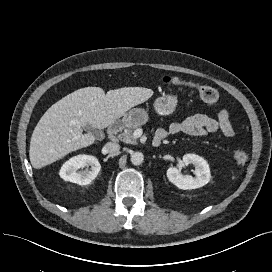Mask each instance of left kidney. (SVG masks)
Listing matches in <instances>:
<instances>
[{
  "mask_svg": "<svg viewBox=\"0 0 272 272\" xmlns=\"http://www.w3.org/2000/svg\"><path fill=\"white\" fill-rule=\"evenodd\" d=\"M185 165L192 164L195 167V177L182 175L176 167H169L167 170L168 180L179 189H197L206 185L210 179V168L207 161L196 154H185L182 158Z\"/></svg>",
  "mask_w": 272,
  "mask_h": 272,
  "instance_id": "1",
  "label": "left kidney"
}]
</instances>
